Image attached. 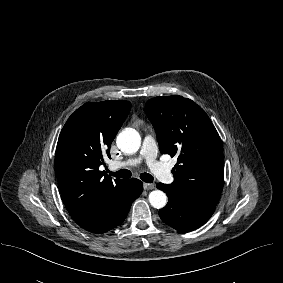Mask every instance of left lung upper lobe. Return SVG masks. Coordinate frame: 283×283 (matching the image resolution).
Masks as SVG:
<instances>
[{
	"instance_id": "1",
	"label": "left lung upper lobe",
	"mask_w": 283,
	"mask_h": 283,
	"mask_svg": "<svg viewBox=\"0 0 283 283\" xmlns=\"http://www.w3.org/2000/svg\"><path fill=\"white\" fill-rule=\"evenodd\" d=\"M160 152L178 156L171 188L200 204L216 207L223 185V151L218 132L204 110L181 96L155 97L146 103Z\"/></svg>"
}]
</instances>
